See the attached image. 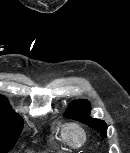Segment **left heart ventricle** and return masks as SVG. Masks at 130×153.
Masks as SVG:
<instances>
[{
	"mask_svg": "<svg viewBox=\"0 0 130 153\" xmlns=\"http://www.w3.org/2000/svg\"><path fill=\"white\" fill-rule=\"evenodd\" d=\"M75 140L79 139V136L77 134L74 135Z\"/></svg>",
	"mask_w": 130,
	"mask_h": 153,
	"instance_id": "b2bd125f",
	"label": "left heart ventricle"
}]
</instances>
